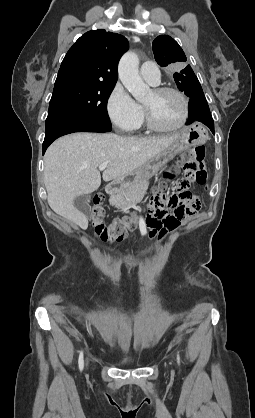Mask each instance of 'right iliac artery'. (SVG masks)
Listing matches in <instances>:
<instances>
[{
  "mask_svg": "<svg viewBox=\"0 0 255 418\" xmlns=\"http://www.w3.org/2000/svg\"><path fill=\"white\" fill-rule=\"evenodd\" d=\"M78 364L80 371H82L84 367L83 351L80 352Z\"/></svg>",
  "mask_w": 255,
  "mask_h": 418,
  "instance_id": "obj_1",
  "label": "right iliac artery"
}]
</instances>
